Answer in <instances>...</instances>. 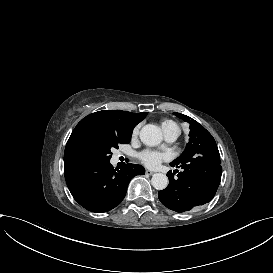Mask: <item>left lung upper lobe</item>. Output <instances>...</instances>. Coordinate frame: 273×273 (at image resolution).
Masks as SVG:
<instances>
[{
  "instance_id": "1",
  "label": "left lung upper lobe",
  "mask_w": 273,
  "mask_h": 273,
  "mask_svg": "<svg viewBox=\"0 0 273 273\" xmlns=\"http://www.w3.org/2000/svg\"><path fill=\"white\" fill-rule=\"evenodd\" d=\"M190 124L189 143L182 155L174 160V163H181L193 157H206L220 159V154L213 136L197 121L180 113H173Z\"/></svg>"
}]
</instances>
